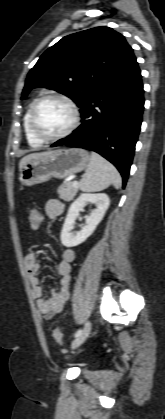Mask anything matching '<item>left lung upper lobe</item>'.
Listing matches in <instances>:
<instances>
[{"label": "left lung upper lobe", "mask_w": 165, "mask_h": 419, "mask_svg": "<svg viewBox=\"0 0 165 419\" xmlns=\"http://www.w3.org/2000/svg\"><path fill=\"white\" fill-rule=\"evenodd\" d=\"M124 36L96 27L63 37L47 49L30 70L21 99L45 87L70 97L81 108L103 82L133 57Z\"/></svg>", "instance_id": "5c2ea615"}]
</instances>
